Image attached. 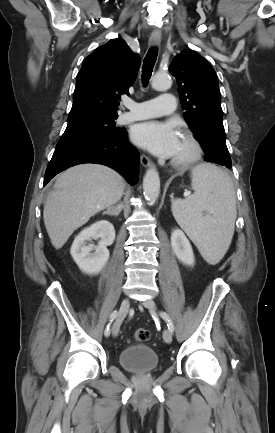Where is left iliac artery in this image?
Here are the masks:
<instances>
[{"label":"left iliac artery","instance_id":"left-iliac-artery-1","mask_svg":"<svg viewBox=\"0 0 275 433\" xmlns=\"http://www.w3.org/2000/svg\"><path fill=\"white\" fill-rule=\"evenodd\" d=\"M161 317L167 322L168 329L173 332L174 331V324L172 320L170 319L169 315L166 312L160 313Z\"/></svg>","mask_w":275,"mask_h":433}]
</instances>
